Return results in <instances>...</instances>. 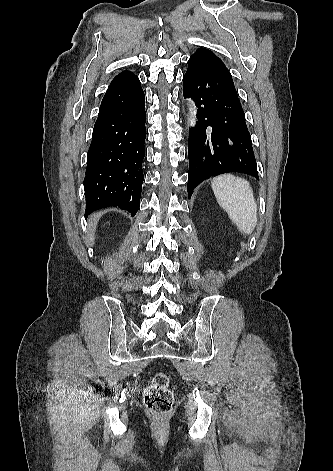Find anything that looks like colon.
<instances>
[{
	"label": "colon",
	"mask_w": 333,
	"mask_h": 471,
	"mask_svg": "<svg viewBox=\"0 0 333 471\" xmlns=\"http://www.w3.org/2000/svg\"><path fill=\"white\" fill-rule=\"evenodd\" d=\"M143 401L147 409L161 420L170 413L174 397L169 389V378L166 373L155 374L144 390Z\"/></svg>",
	"instance_id": "colon-1"
}]
</instances>
